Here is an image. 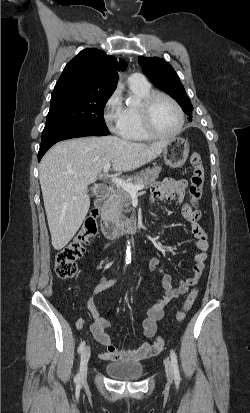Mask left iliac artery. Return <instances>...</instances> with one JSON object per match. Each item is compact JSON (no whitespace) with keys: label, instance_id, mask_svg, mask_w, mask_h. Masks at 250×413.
I'll return each mask as SVG.
<instances>
[{"label":"left iliac artery","instance_id":"44dca946","mask_svg":"<svg viewBox=\"0 0 250 413\" xmlns=\"http://www.w3.org/2000/svg\"><path fill=\"white\" fill-rule=\"evenodd\" d=\"M170 356H171V362H172L173 369H174V379L176 382H179L180 373H179V368H178L177 356L173 351L170 352Z\"/></svg>","mask_w":250,"mask_h":413}]
</instances>
